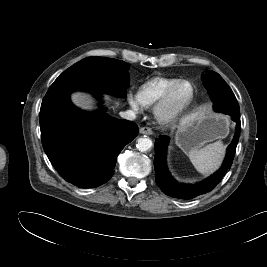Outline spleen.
<instances>
[{"label": "spleen", "mask_w": 267, "mask_h": 267, "mask_svg": "<svg viewBox=\"0 0 267 267\" xmlns=\"http://www.w3.org/2000/svg\"><path fill=\"white\" fill-rule=\"evenodd\" d=\"M225 146L222 141H216L203 148L193 149L188 153L190 161L196 170L202 174L216 171L224 158Z\"/></svg>", "instance_id": "1"}]
</instances>
